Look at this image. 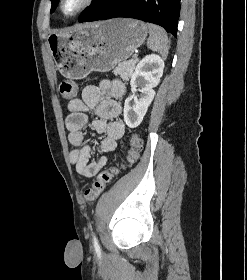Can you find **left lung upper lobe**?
Wrapping results in <instances>:
<instances>
[{"label": "left lung upper lobe", "mask_w": 247, "mask_h": 280, "mask_svg": "<svg viewBox=\"0 0 247 280\" xmlns=\"http://www.w3.org/2000/svg\"><path fill=\"white\" fill-rule=\"evenodd\" d=\"M51 1H52L51 12H53V11L55 10V6H56L58 0H51ZM107 1H108V0H96L95 3H94V5L88 7L81 17L87 16V15L90 14L92 11H94L95 9H97L98 7H100L101 5L105 4Z\"/></svg>", "instance_id": "obj_1"}]
</instances>
